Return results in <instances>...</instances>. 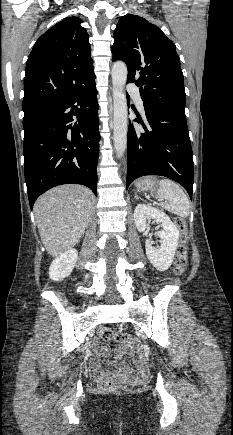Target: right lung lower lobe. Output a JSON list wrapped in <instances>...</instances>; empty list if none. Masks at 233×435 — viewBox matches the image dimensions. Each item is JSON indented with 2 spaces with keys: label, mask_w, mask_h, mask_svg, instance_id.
Listing matches in <instances>:
<instances>
[{
  "label": "right lung lower lobe",
  "mask_w": 233,
  "mask_h": 435,
  "mask_svg": "<svg viewBox=\"0 0 233 435\" xmlns=\"http://www.w3.org/2000/svg\"><path fill=\"white\" fill-rule=\"evenodd\" d=\"M95 74L61 100L24 116V172L29 204L48 189L75 183L97 196L99 119ZM76 117L78 122L69 124Z\"/></svg>",
  "instance_id": "right-lung-lower-lobe-1"
}]
</instances>
